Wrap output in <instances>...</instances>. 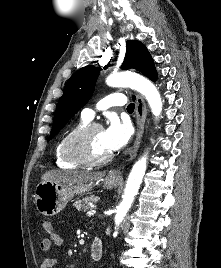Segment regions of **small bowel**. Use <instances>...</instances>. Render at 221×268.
I'll return each instance as SVG.
<instances>
[{
	"instance_id": "1",
	"label": "small bowel",
	"mask_w": 221,
	"mask_h": 268,
	"mask_svg": "<svg viewBox=\"0 0 221 268\" xmlns=\"http://www.w3.org/2000/svg\"><path fill=\"white\" fill-rule=\"evenodd\" d=\"M63 244V238L54 231L47 233V236L40 242V249L43 252H49L54 247H60ZM57 260L54 258H45L40 263V268H56Z\"/></svg>"
}]
</instances>
